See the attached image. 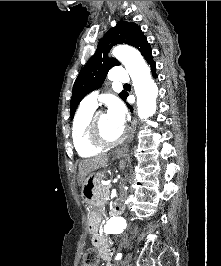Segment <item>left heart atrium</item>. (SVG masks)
Wrapping results in <instances>:
<instances>
[{"label": "left heart atrium", "mask_w": 221, "mask_h": 266, "mask_svg": "<svg viewBox=\"0 0 221 266\" xmlns=\"http://www.w3.org/2000/svg\"><path fill=\"white\" fill-rule=\"evenodd\" d=\"M107 116L117 127L123 129L126 122V110L118 100H112L108 104Z\"/></svg>", "instance_id": "1"}]
</instances>
